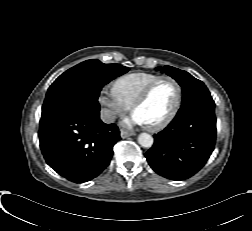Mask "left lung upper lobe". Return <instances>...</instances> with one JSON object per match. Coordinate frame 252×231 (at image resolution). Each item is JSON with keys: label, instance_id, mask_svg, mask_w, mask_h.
Here are the masks:
<instances>
[{"label": "left lung upper lobe", "instance_id": "5c2ea615", "mask_svg": "<svg viewBox=\"0 0 252 231\" xmlns=\"http://www.w3.org/2000/svg\"><path fill=\"white\" fill-rule=\"evenodd\" d=\"M157 69L162 70L167 75L174 78L179 85L183 88V100L182 105L196 99H211L210 92L204 83L188 72L171 67L165 66L164 68L158 67Z\"/></svg>", "mask_w": 252, "mask_h": 231}]
</instances>
